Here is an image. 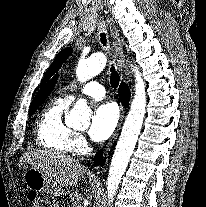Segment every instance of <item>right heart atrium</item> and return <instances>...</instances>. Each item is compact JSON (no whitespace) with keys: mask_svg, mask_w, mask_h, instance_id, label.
I'll return each mask as SVG.
<instances>
[{"mask_svg":"<svg viewBox=\"0 0 206 207\" xmlns=\"http://www.w3.org/2000/svg\"><path fill=\"white\" fill-rule=\"evenodd\" d=\"M75 151L81 152L84 151L87 147V142L84 138V136L80 133H75Z\"/></svg>","mask_w":206,"mask_h":207,"instance_id":"right-heart-atrium-1","label":"right heart atrium"}]
</instances>
